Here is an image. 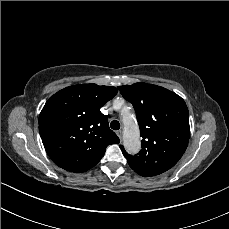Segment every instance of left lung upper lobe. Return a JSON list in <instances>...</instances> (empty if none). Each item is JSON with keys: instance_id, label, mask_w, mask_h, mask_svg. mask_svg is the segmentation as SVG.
Returning a JSON list of instances; mask_svg holds the SVG:
<instances>
[{"instance_id": "5c2ea615", "label": "left lung upper lobe", "mask_w": 229, "mask_h": 229, "mask_svg": "<svg viewBox=\"0 0 229 229\" xmlns=\"http://www.w3.org/2000/svg\"><path fill=\"white\" fill-rule=\"evenodd\" d=\"M118 89L132 103L143 138L137 155L127 154L120 146L128 164L143 177L171 169L188 146L190 127L186 103L176 93L157 85L135 83Z\"/></svg>"}]
</instances>
